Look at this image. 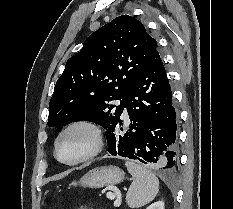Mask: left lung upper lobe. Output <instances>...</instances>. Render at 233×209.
<instances>
[{
  "mask_svg": "<svg viewBox=\"0 0 233 209\" xmlns=\"http://www.w3.org/2000/svg\"><path fill=\"white\" fill-rule=\"evenodd\" d=\"M157 42L143 24L122 15L92 33L66 62L49 103L48 126L90 121L104 129L118 120L125 97ZM120 100L119 106L113 102Z\"/></svg>",
  "mask_w": 233,
  "mask_h": 209,
  "instance_id": "obj_1",
  "label": "left lung upper lobe"
}]
</instances>
